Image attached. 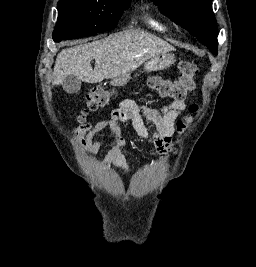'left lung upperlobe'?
Wrapping results in <instances>:
<instances>
[{
  "label": "left lung upper lobe",
  "instance_id": "obj_1",
  "mask_svg": "<svg viewBox=\"0 0 256 267\" xmlns=\"http://www.w3.org/2000/svg\"><path fill=\"white\" fill-rule=\"evenodd\" d=\"M154 3L217 55V28L211 0H154Z\"/></svg>",
  "mask_w": 256,
  "mask_h": 267
}]
</instances>
